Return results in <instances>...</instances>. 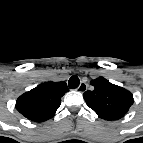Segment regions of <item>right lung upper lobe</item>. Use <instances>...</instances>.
<instances>
[{
  "label": "right lung upper lobe",
  "mask_w": 143,
  "mask_h": 143,
  "mask_svg": "<svg viewBox=\"0 0 143 143\" xmlns=\"http://www.w3.org/2000/svg\"><path fill=\"white\" fill-rule=\"evenodd\" d=\"M65 82H46L24 93L16 101V109L26 118L43 122L52 118L68 92Z\"/></svg>",
  "instance_id": "right-lung-upper-lobe-1"
}]
</instances>
